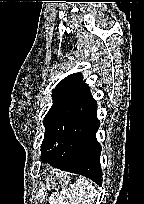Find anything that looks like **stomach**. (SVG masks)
Returning a JSON list of instances; mask_svg holds the SVG:
<instances>
[{"label":"stomach","instance_id":"0dacf381","mask_svg":"<svg viewBox=\"0 0 144 204\" xmlns=\"http://www.w3.org/2000/svg\"><path fill=\"white\" fill-rule=\"evenodd\" d=\"M69 181H70L69 176L63 173L56 172L55 176L49 177L47 179V184H49V186L52 188L58 187V188L64 189L66 185L69 183Z\"/></svg>","mask_w":144,"mask_h":204}]
</instances>
